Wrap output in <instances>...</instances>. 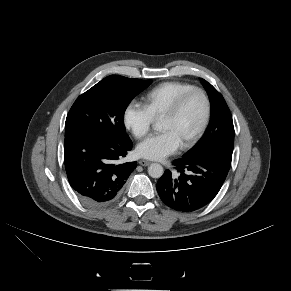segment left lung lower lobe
Wrapping results in <instances>:
<instances>
[{
	"instance_id": "left-lung-lower-lobe-1",
	"label": "left lung lower lobe",
	"mask_w": 291,
	"mask_h": 291,
	"mask_svg": "<svg viewBox=\"0 0 291 291\" xmlns=\"http://www.w3.org/2000/svg\"><path fill=\"white\" fill-rule=\"evenodd\" d=\"M232 153L220 150L184 156L173 162L178 175L166 170L156 188L170 208L193 212L211 202L222 187L231 166Z\"/></svg>"
}]
</instances>
